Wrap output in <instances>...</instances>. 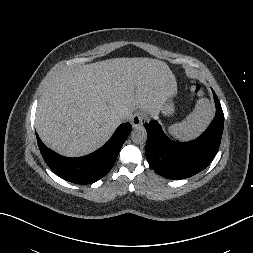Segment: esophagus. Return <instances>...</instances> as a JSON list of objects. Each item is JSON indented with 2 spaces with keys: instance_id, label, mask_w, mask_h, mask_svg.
I'll return each instance as SVG.
<instances>
[{
  "instance_id": "34e87169",
  "label": "esophagus",
  "mask_w": 253,
  "mask_h": 253,
  "mask_svg": "<svg viewBox=\"0 0 253 253\" xmlns=\"http://www.w3.org/2000/svg\"><path fill=\"white\" fill-rule=\"evenodd\" d=\"M143 119H144L143 113H141V112L135 113L131 119L132 126L138 127V126L142 125Z\"/></svg>"
}]
</instances>
